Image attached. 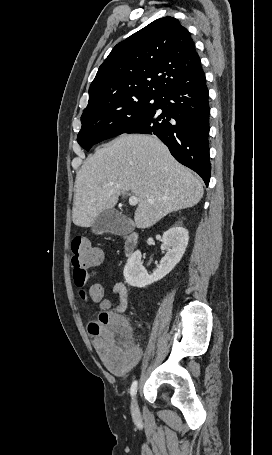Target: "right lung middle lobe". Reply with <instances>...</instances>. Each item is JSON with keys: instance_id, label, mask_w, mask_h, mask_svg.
I'll use <instances>...</instances> for the list:
<instances>
[{"instance_id": "dd1d6c3e", "label": "right lung middle lobe", "mask_w": 272, "mask_h": 455, "mask_svg": "<svg viewBox=\"0 0 272 455\" xmlns=\"http://www.w3.org/2000/svg\"><path fill=\"white\" fill-rule=\"evenodd\" d=\"M160 99L158 95H136L83 112L78 143L89 151L94 144L125 133L151 114Z\"/></svg>"}]
</instances>
